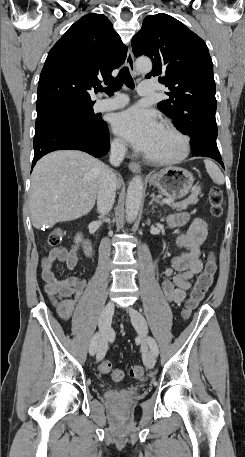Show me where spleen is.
<instances>
[{"label":"spleen","mask_w":245,"mask_h":457,"mask_svg":"<svg viewBox=\"0 0 245 457\" xmlns=\"http://www.w3.org/2000/svg\"><path fill=\"white\" fill-rule=\"evenodd\" d=\"M204 164L206 166V170L208 174H210L212 180L217 182V184H223L225 178L223 176V172H221L219 166L211 160V158H205Z\"/></svg>","instance_id":"1"}]
</instances>
